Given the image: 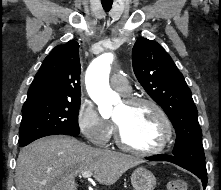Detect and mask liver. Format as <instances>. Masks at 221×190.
<instances>
[{"mask_svg":"<svg viewBox=\"0 0 221 190\" xmlns=\"http://www.w3.org/2000/svg\"><path fill=\"white\" fill-rule=\"evenodd\" d=\"M139 157L93 148L66 136L39 139L18 156L17 190H77L76 176L94 173L101 184H114L124 172L139 165Z\"/></svg>","mask_w":221,"mask_h":190,"instance_id":"1","label":"liver"}]
</instances>
